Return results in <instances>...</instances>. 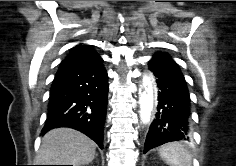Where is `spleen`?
<instances>
[{
    "mask_svg": "<svg viewBox=\"0 0 236 166\" xmlns=\"http://www.w3.org/2000/svg\"><path fill=\"white\" fill-rule=\"evenodd\" d=\"M160 156L170 166H192V156L180 143H170L160 149Z\"/></svg>",
    "mask_w": 236,
    "mask_h": 166,
    "instance_id": "3e777b00",
    "label": "spleen"
}]
</instances>
